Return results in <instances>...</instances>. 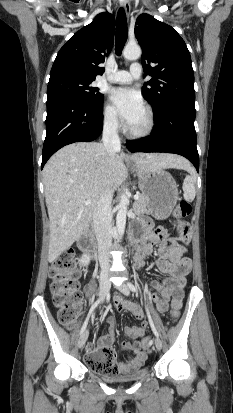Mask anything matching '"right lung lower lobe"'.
<instances>
[{"instance_id":"98d812e1","label":"right lung lower lobe","mask_w":233,"mask_h":413,"mask_svg":"<svg viewBox=\"0 0 233 413\" xmlns=\"http://www.w3.org/2000/svg\"><path fill=\"white\" fill-rule=\"evenodd\" d=\"M102 127L103 107L94 108L69 96L48 98L41 168L63 146L97 139Z\"/></svg>"}]
</instances>
